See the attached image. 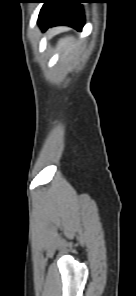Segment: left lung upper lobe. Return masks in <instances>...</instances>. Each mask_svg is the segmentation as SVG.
Instances as JSON below:
<instances>
[{
	"label": "left lung upper lobe",
	"mask_w": 136,
	"mask_h": 296,
	"mask_svg": "<svg viewBox=\"0 0 136 296\" xmlns=\"http://www.w3.org/2000/svg\"><path fill=\"white\" fill-rule=\"evenodd\" d=\"M40 2H43L44 5L40 10L38 21L43 20L47 16L53 6L54 0H40Z\"/></svg>",
	"instance_id": "5c2ea615"
}]
</instances>
